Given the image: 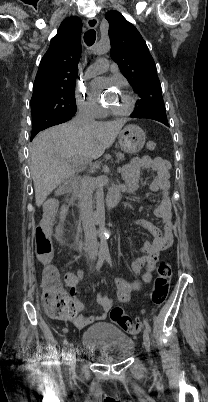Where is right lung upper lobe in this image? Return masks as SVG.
I'll use <instances>...</instances> for the list:
<instances>
[{"mask_svg": "<svg viewBox=\"0 0 208 402\" xmlns=\"http://www.w3.org/2000/svg\"><path fill=\"white\" fill-rule=\"evenodd\" d=\"M81 28L82 22L78 17L63 20L41 59L33 93L66 81H75L81 54Z\"/></svg>", "mask_w": 208, "mask_h": 402, "instance_id": "obj_1", "label": "right lung upper lobe"}]
</instances>
